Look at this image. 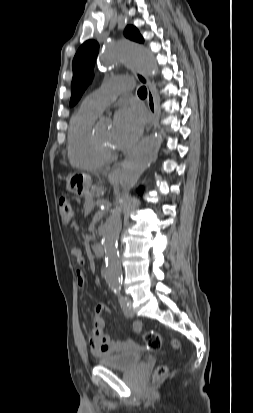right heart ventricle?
I'll use <instances>...</instances> for the list:
<instances>
[{
	"label": "right heart ventricle",
	"instance_id": "1",
	"mask_svg": "<svg viewBox=\"0 0 253 413\" xmlns=\"http://www.w3.org/2000/svg\"><path fill=\"white\" fill-rule=\"evenodd\" d=\"M98 114L81 106L70 120L67 152L72 165L96 169L107 159L102 157L93 143V126Z\"/></svg>",
	"mask_w": 253,
	"mask_h": 413
}]
</instances>
